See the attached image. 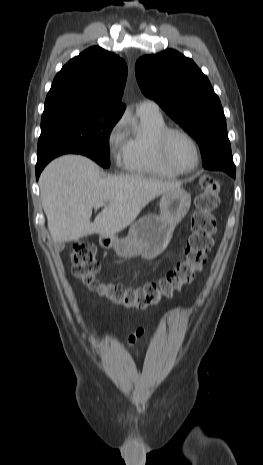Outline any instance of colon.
Instances as JSON below:
<instances>
[{
    "label": "colon",
    "instance_id": "colon-1",
    "mask_svg": "<svg viewBox=\"0 0 263 465\" xmlns=\"http://www.w3.org/2000/svg\"><path fill=\"white\" fill-rule=\"evenodd\" d=\"M198 189L184 259L159 281L148 282L137 288L126 287L120 283L99 282L96 278L100 270L96 249L86 242H76L73 245L70 255L73 274L90 290L116 304L139 310L156 305L162 298H169L180 291L183 286L191 283L200 271L213 245V235L216 232V218L213 212L219 205L221 182L211 176H204L199 181Z\"/></svg>",
    "mask_w": 263,
    "mask_h": 465
}]
</instances>
